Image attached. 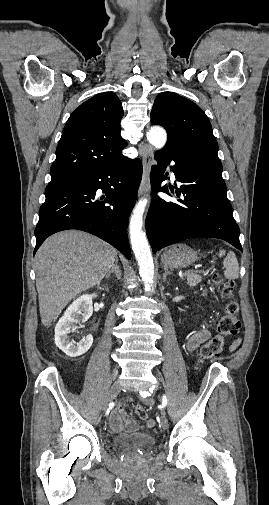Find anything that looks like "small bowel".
I'll return each mask as SVG.
<instances>
[{
  "label": "small bowel",
  "instance_id": "1",
  "mask_svg": "<svg viewBox=\"0 0 269 505\" xmlns=\"http://www.w3.org/2000/svg\"><path fill=\"white\" fill-rule=\"evenodd\" d=\"M210 337V332L206 328H200L195 331L186 341V350L189 352L197 349L202 343ZM239 345V340H235L231 349H235ZM155 422L153 419H148L144 424L138 425L134 418L126 415L122 404L118 405L111 413L110 426L113 431H125L128 434H135L138 430L152 428Z\"/></svg>",
  "mask_w": 269,
  "mask_h": 505
}]
</instances>
